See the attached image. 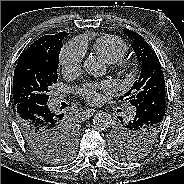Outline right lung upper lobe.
<instances>
[{
    "instance_id": "obj_1",
    "label": "right lung upper lobe",
    "mask_w": 184,
    "mask_h": 184,
    "mask_svg": "<svg viewBox=\"0 0 184 184\" xmlns=\"http://www.w3.org/2000/svg\"><path fill=\"white\" fill-rule=\"evenodd\" d=\"M67 36L66 32H59L55 35H45L37 39L32 45L27 48L22 54H30V53H47L51 47V44L55 39H62Z\"/></svg>"
}]
</instances>
